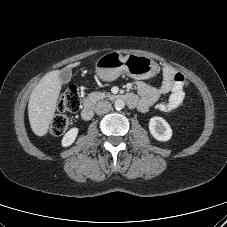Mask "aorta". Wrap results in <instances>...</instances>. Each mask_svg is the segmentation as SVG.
Segmentation results:
<instances>
[{
	"mask_svg": "<svg viewBox=\"0 0 227 227\" xmlns=\"http://www.w3.org/2000/svg\"><path fill=\"white\" fill-rule=\"evenodd\" d=\"M114 106L117 110H121L125 107V102L124 100L122 99H117L115 102H114Z\"/></svg>",
	"mask_w": 227,
	"mask_h": 227,
	"instance_id": "aorta-1",
	"label": "aorta"
}]
</instances>
